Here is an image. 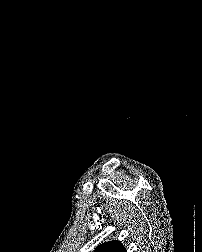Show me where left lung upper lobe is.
<instances>
[{"mask_svg": "<svg viewBox=\"0 0 202 252\" xmlns=\"http://www.w3.org/2000/svg\"><path fill=\"white\" fill-rule=\"evenodd\" d=\"M94 252H126L120 241H110L99 245Z\"/></svg>", "mask_w": 202, "mask_h": 252, "instance_id": "1", "label": "left lung upper lobe"}]
</instances>
